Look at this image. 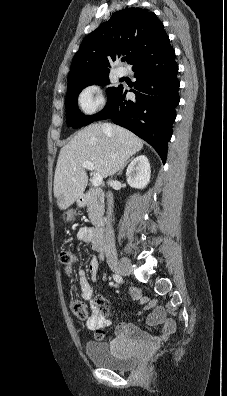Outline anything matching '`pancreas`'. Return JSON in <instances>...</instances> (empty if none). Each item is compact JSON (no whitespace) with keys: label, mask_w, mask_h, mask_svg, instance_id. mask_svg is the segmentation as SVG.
Wrapping results in <instances>:
<instances>
[{"label":"pancreas","mask_w":227,"mask_h":396,"mask_svg":"<svg viewBox=\"0 0 227 396\" xmlns=\"http://www.w3.org/2000/svg\"><path fill=\"white\" fill-rule=\"evenodd\" d=\"M88 215L92 225L100 226L102 224V216L104 212V206L101 200L92 197L88 203Z\"/></svg>","instance_id":"cf45deb5"}]
</instances>
